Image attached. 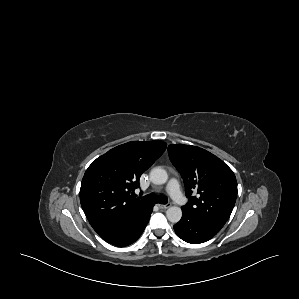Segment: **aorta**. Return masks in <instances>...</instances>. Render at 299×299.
<instances>
[{
	"mask_svg": "<svg viewBox=\"0 0 299 299\" xmlns=\"http://www.w3.org/2000/svg\"><path fill=\"white\" fill-rule=\"evenodd\" d=\"M150 179L152 183L161 185L167 182L168 174L161 167H154L150 172ZM168 220L172 223H177L182 217V210L178 206H171L166 211Z\"/></svg>",
	"mask_w": 299,
	"mask_h": 299,
	"instance_id": "762f6f07",
	"label": "aorta"
}]
</instances>
